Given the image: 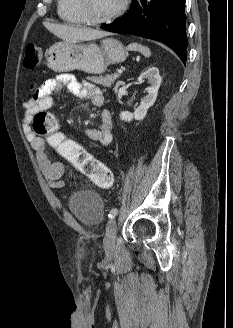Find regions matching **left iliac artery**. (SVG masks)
<instances>
[{
	"label": "left iliac artery",
	"instance_id": "1",
	"mask_svg": "<svg viewBox=\"0 0 233 328\" xmlns=\"http://www.w3.org/2000/svg\"><path fill=\"white\" fill-rule=\"evenodd\" d=\"M117 213H118L117 208H114V209H112V210L110 211L108 217H109L110 219H113V218L117 215Z\"/></svg>",
	"mask_w": 233,
	"mask_h": 328
}]
</instances>
